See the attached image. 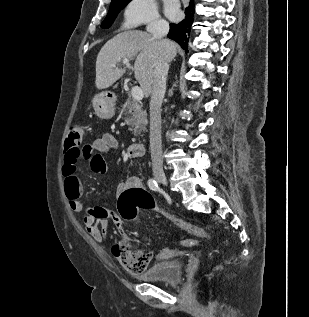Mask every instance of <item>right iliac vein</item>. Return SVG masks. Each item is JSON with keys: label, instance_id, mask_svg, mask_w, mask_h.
Segmentation results:
<instances>
[{"label": "right iliac vein", "instance_id": "obj_1", "mask_svg": "<svg viewBox=\"0 0 309 317\" xmlns=\"http://www.w3.org/2000/svg\"><path fill=\"white\" fill-rule=\"evenodd\" d=\"M154 176H155L156 180H157L159 183L163 184L164 186L167 185L166 176H165V174H164L163 171L156 170V171L154 172Z\"/></svg>", "mask_w": 309, "mask_h": 317}]
</instances>
